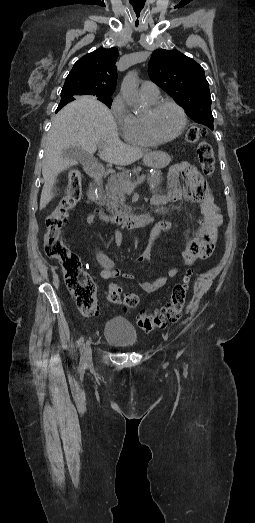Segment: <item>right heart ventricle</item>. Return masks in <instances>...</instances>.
<instances>
[{
	"label": "right heart ventricle",
	"instance_id": "e07e8e85",
	"mask_svg": "<svg viewBox=\"0 0 255 523\" xmlns=\"http://www.w3.org/2000/svg\"><path fill=\"white\" fill-rule=\"evenodd\" d=\"M147 105H153L158 98L143 96ZM122 135L126 142L135 146H148L154 142L146 134L143 127V117L127 111V115L122 121Z\"/></svg>",
	"mask_w": 255,
	"mask_h": 523
}]
</instances>
